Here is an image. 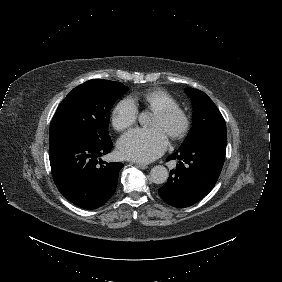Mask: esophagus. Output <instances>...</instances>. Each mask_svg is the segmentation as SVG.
Masks as SVG:
<instances>
[{"instance_id":"obj_1","label":"esophagus","mask_w":282,"mask_h":282,"mask_svg":"<svg viewBox=\"0 0 282 282\" xmlns=\"http://www.w3.org/2000/svg\"><path fill=\"white\" fill-rule=\"evenodd\" d=\"M136 165H137L140 169H147V168H148V166L145 165V164L137 163Z\"/></svg>"}]
</instances>
